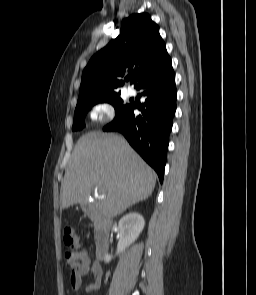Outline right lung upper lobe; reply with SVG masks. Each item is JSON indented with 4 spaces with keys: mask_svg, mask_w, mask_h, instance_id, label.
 Here are the masks:
<instances>
[{
    "mask_svg": "<svg viewBox=\"0 0 256 295\" xmlns=\"http://www.w3.org/2000/svg\"><path fill=\"white\" fill-rule=\"evenodd\" d=\"M168 58L158 25L149 14H133L123 21L120 35L90 59L82 74L78 100L119 95L126 72L132 74L130 82L136 87L145 74Z\"/></svg>",
    "mask_w": 256,
    "mask_h": 295,
    "instance_id": "obj_1",
    "label": "right lung upper lobe"
}]
</instances>
